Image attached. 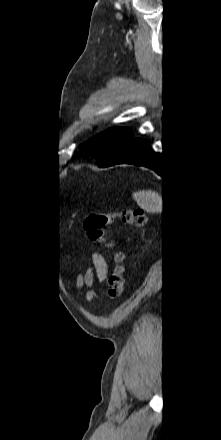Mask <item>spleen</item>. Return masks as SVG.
Instances as JSON below:
<instances>
[{
  "instance_id": "3e777b00",
  "label": "spleen",
  "mask_w": 221,
  "mask_h": 440,
  "mask_svg": "<svg viewBox=\"0 0 221 440\" xmlns=\"http://www.w3.org/2000/svg\"><path fill=\"white\" fill-rule=\"evenodd\" d=\"M140 208L148 213L161 211V194L152 190H141L132 194Z\"/></svg>"
}]
</instances>
